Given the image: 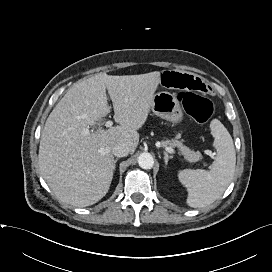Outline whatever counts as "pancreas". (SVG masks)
Wrapping results in <instances>:
<instances>
[{
  "label": "pancreas",
  "instance_id": "obj_1",
  "mask_svg": "<svg viewBox=\"0 0 272 272\" xmlns=\"http://www.w3.org/2000/svg\"><path fill=\"white\" fill-rule=\"evenodd\" d=\"M162 146L178 148L180 153L184 156L185 160L191 163L198 162L203 159V156L199 151L191 150L187 146L183 145V143L177 139H174L172 141L170 140L163 141Z\"/></svg>",
  "mask_w": 272,
  "mask_h": 272
}]
</instances>
